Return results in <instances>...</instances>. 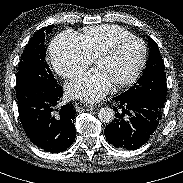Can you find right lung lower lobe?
<instances>
[{"instance_id":"right-lung-lower-lobe-1","label":"right lung lower lobe","mask_w":183,"mask_h":183,"mask_svg":"<svg viewBox=\"0 0 183 183\" xmlns=\"http://www.w3.org/2000/svg\"><path fill=\"white\" fill-rule=\"evenodd\" d=\"M63 95L60 85L50 90H30L18 100L19 117L31 142L39 148L59 153L75 139L73 105L57 108Z\"/></svg>"}]
</instances>
